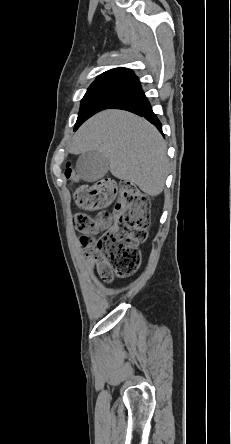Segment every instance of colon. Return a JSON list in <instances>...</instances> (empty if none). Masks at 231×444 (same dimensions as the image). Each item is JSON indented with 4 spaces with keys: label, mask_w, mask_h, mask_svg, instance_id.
Segmentation results:
<instances>
[{
    "label": "colon",
    "mask_w": 231,
    "mask_h": 444,
    "mask_svg": "<svg viewBox=\"0 0 231 444\" xmlns=\"http://www.w3.org/2000/svg\"><path fill=\"white\" fill-rule=\"evenodd\" d=\"M66 174L75 180L72 169L68 168ZM117 195L111 216L104 209ZM74 200L81 209L96 211L93 216L77 213L74 224L84 235V245L103 259L106 270L101 278L110 282L114 277L126 278L134 274L141 263L139 245L146 240L150 223L148 197L130 183H124L118 192L115 181L105 178L77 187ZM98 234L99 237H95Z\"/></svg>",
    "instance_id": "colon-1"
}]
</instances>
